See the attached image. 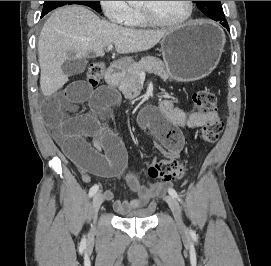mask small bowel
<instances>
[{
	"label": "small bowel",
	"mask_w": 271,
	"mask_h": 266,
	"mask_svg": "<svg viewBox=\"0 0 271 266\" xmlns=\"http://www.w3.org/2000/svg\"><path fill=\"white\" fill-rule=\"evenodd\" d=\"M83 68V60H70L64 66V73L67 77L75 76ZM84 101L90 102V112L78 117H65L67 109ZM117 101V95L105 87L93 91L84 81H74L66 83L52 94L44 103L43 109L55 139L76 164L85 182H90L93 175L117 177L123 179L137 195L131 200L114 202L116 212L127 214L148 205L154 197L163 194L170 183L144 185L135 175L124 173L128 161L126 149L105 121V114ZM140 122L142 127L152 129L161 143L164 155L175 158L184 146L182 129L201 128L205 116L201 112L186 114L171 100L164 99L159 105V117H156L154 110L148 109L141 116ZM87 138L92 139L93 143H88ZM103 197L111 201L114 195L107 190Z\"/></svg>",
	"instance_id": "1"
}]
</instances>
